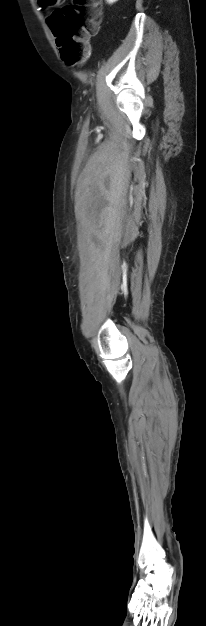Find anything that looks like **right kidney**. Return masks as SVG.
Listing matches in <instances>:
<instances>
[{"mask_svg":"<svg viewBox=\"0 0 206 626\" xmlns=\"http://www.w3.org/2000/svg\"><path fill=\"white\" fill-rule=\"evenodd\" d=\"M106 1H107V3H109V4H113L114 2H116V1H118V0H106Z\"/></svg>","mask_w":206,"mask_h":626,"instance_id":"ca27d5eb","label":"right kidney"}]
</instances>
